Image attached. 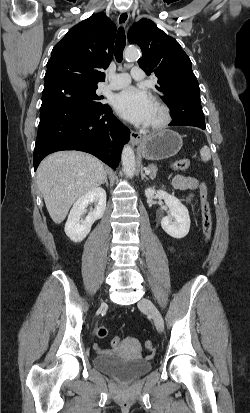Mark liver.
I'll return each mask as SVG.
<instances>
[{
	"mask_svg": "<svg viewBox=\"0 0 250 413\" xmlns=\"http://www.w3.org/2000/svg\"><path fill=\"white\" fill-rule=\"evenodd\" d=\"M103 163L79 151H61L47 156L37 170V184L46 208L56 224L66 218L72 204L104 181Z\"/></svg>",
	"mask_w": 250,
	"mask_h": 413,
	"instance_id": "liver-1",
	"label": "liver"
}]
</instances>
